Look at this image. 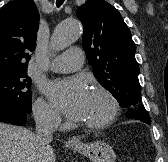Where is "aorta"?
<instances>
[{"mask_svg":"<svg viewBox=\"0 0 168 162\" xmlns=\"http://www.w3.org/2000/svg\"><path fill=\"white\" fill-rule=\"evenodd\" d=\"M82 28L77 20L60 23L52 36L51 47L57 51L65 49L79 39Z\"/></svg>","mask_w":168,"mask_h":162,"instance_id":"762f6f07","label":"aorta"}]
</instances>
